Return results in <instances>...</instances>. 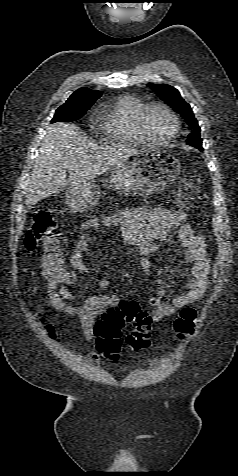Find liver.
I'll return each mask as SVG.
<instances>
[{"label": "liver", "instance_id": "1", "mask_svg": "<svg viewBox=\"0 0 238 476\" xmlns=\"http://www.w3.org/2000/svg\"><path fill=\"white\" fill-rule=\"evenodd\" d=\"M131 146H98L73 124L55 123L48 127L26 189L25 204L38 201L77 186L114 168L137 153ZM69 170V178H66Z\"/></svg>", "mask_w": 238, "mask_h": 476}]
</instances>
